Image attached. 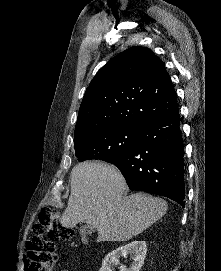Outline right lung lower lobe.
<instances>
[{
  "mask_svg": "<svg viewBox=\"0 0 221 271\" xmlns=\"http://www.w3.org/2000/svg\"><path fill=\"white\" fill-rule=\"evenodd\" d=\"M184 145L179 109L143 127L137 143L114 164L131 190L168 197L185 206Z\"/></svg>",
  "mask_w": 221,
  "mask_h": 271,
  "instance_id": "right-lung-lower-lobe-1",
  "label": "right lung lower lobe"
}]
</instances>
